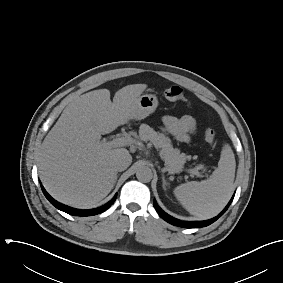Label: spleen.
<instances>
[{
	"label": "spleen",
	"instance_id": "3e777b00",
	"mask_svg": "<svg viewBox=\"0 0 283 283\" xmlns=\"http://www.w3.org/2000/svg\"><path fill=\"white\" fill-rule=\"evenodd\" d=\"M236 161L229 144H224L218 167L210 178L177 186L174 195L192 215L209 218L219 213L233 192Z\"/></svg>",
	"mask_w": 283,
	"mask_h": 283
}]
</instances>
